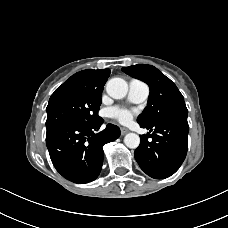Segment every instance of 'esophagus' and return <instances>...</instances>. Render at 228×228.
<instances>
[{"instance_id": "34e87169", "label": "esophagus", "mask_w": 228, "mask_h": 228, "mask_svg": "<svg viewBox=\"0 0 228 228\" xmlns=\"http://www.w3.org/2000/svg\"><path fill=\"white\" fill-rule=\"evenodd\" d=\"M128 132H129V130L127 128H124V127L121 128V135H125Z\"/></svg>"}]
</instances>
